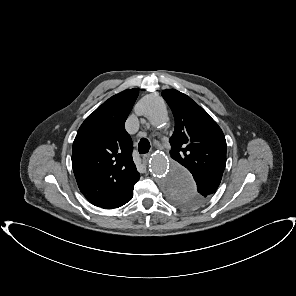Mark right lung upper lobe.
Returning <instances> with one entry per match:
<instances>
[{
	"mask_svg": "<svg viewBox=\"0 0 296 296\" xmlns=\"http://www.w3.org/2000/svg\"><path fill=\"white\" fill-rule=\"evenodd\" d=\"M139 94L124 90L105 101L80 126L72 150L78 187L95 206L113 209L132 199L140 174L124 123Z\"/></svg>",
	"mask_w": 296,
	"mask_h": 296,
	"instance_id": "right-lung-upper-lobe-1",
	"label": "right lung upper lobe"
}]
</instances>
